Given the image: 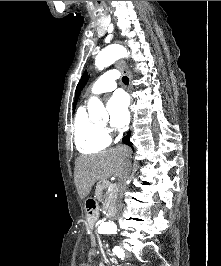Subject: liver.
<instances>
[{"instance_id": "1", "label": "liver", "mask_w": 221, "mask_h": 266, "mask_svg": "<svg viewBox=\"0 0 221 266\" xmlns=\"http://www.w3.org/2000/svg\"><path fill=\"white\" fill-rule=\"evenodd\" d=\"M130 149L118 146L94 155H81L75 160L74 182L81 199H85L98 180L112 176L121 178L126 163L129 162Z\"/></svg>"}]
</instances>
